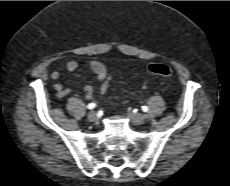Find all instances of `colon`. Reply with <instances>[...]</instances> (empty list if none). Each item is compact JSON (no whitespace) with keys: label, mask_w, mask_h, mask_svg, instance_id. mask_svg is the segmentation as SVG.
<instances>
[{"label":"colon","mask_w":230,"mask_h":186,"mask_svg":"<svg viewBox=\"0 0 230 186\" xmlns=\"http://www.w3.org/2000/svg\"><path fill=\"white\" fill-rule=\"evenodd\" d=\"M148 70L153 74L163 77H170L172 75V69L163 63H151L148 65Z\"/></svg>","instance_id":"5ec220e1"}]
</instances>
